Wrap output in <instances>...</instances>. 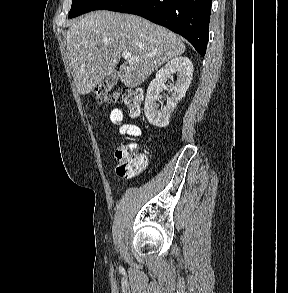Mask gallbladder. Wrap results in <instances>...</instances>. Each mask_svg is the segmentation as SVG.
<instances>
[{
	"label": "gallbladder",
	"instance_id": "1",
	"mask_svg": "<svg viewBox=\"0 0 288 293\" xmlns=\"http://www.w3.org/2000/svg\"><path fill=\"white\" fill-rule=\"evenodd\" d=\"M119 79V73L117 70H114L106 79V86L108 89H111L113 86L117 84Z\"/></svg>",
	"mask_w": 288,
	"mask_h": 293
}]
</instances>
